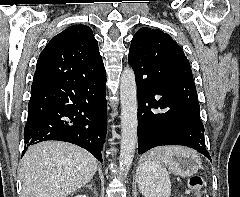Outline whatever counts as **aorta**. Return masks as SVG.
Returning a JSON list of instances; mask_svg holds the SVG:
<instances>
[{
	"instance_id": "762f6f07",
	"label": "aorta",
	"mask_w": 240,
	"mask_h": 197,
	"mask_svg": "<svg viewBox=\"0 0 240 197\" xmlns=\"http://www.w3.org/2000/svg\"><path fill=\"white\" fill-rule=\"evenodd\" d=\"M121 148L119 168L126 176L131 168L137 143V86L132 68H125L120 82Z\"/></svg>"
}]
</instances>
